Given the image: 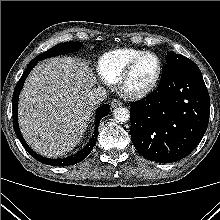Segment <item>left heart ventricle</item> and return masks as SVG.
I'll list each match as a JSON object with an SVG mask.
<instances>
[{
  "instance_id": "obj_1",
  "label": "left heart ventricle",
  "mask_w": 220,
  "mask_h": 220,
  "mask_svg": "<svg viewBox=\"0 0 220 220\" xmlns=\"http://www.w3.org/2000/svg\"><path fill=\"white\" fill-rule=\"evenodd\" d=\"M157 71V60L153 56L143 57L136 65L129 81L130 89H141L148 85Z\"/></svg>"
}]
</instances>
